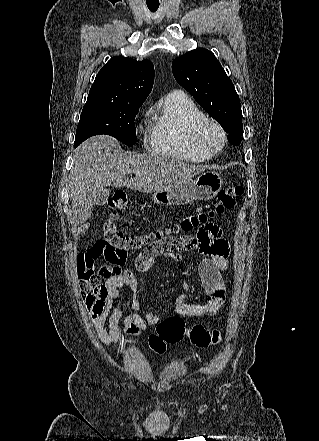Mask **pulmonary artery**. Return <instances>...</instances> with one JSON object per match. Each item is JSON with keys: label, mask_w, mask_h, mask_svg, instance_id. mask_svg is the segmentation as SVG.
Segmentation results:
<instances>
[{"label": "pulmonary artery", "mask_w": 319, "mask_h": 441, "mask_svg": "<svg viewBox=\"0 0 319 441\" xmlns=\"http://www.w3.org/2000/svg\"><path fill=\"white\" fill-rule=\"evenodd\" d=\"M171 94H173V95H179V94H182V93L179 92V91H176V92H173V93H171Z\"/></svg>", "instance_id": "1"}]
</instances>
